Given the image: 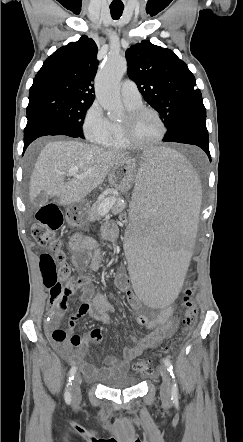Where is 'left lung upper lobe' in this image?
<instances>
[{
  "mask_svg": "<svg viewBox=\"0 0 243 442\" xmlns=\"http://www.w3.org/2000/svg\"><path fill=\"white\" fill-rule=\"evenodd\" d=\"M126 59L130 78L161 115L168 130L166 136L188 116L206 112L195 77L170 49L144 40L127 49Z\"/></svg>",
  "mask_w": 243,
  "mask_h": 442,
  "instance_id": "1",
  "label": "left lung upper lobe"
}]
</instances>
